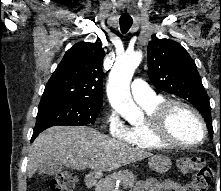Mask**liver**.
<instances>
[{"mask_svg":"<svg viewBox=\"0 0 221 191\" xmlns=\"http://www.w3.org/2000/svg\"><path fill=\"white\" fill-rule=\"evenodd\" d=\"M151 155L89 127L54 126L39 134L33 142L27 175L32 177L46 160L60 161L67 167L80 170L88 167L102 173Z\"/></svg>","mask_w":221,"mask_h":191,"instance_id":"liver-1","label":"liver"}]
</instances>
